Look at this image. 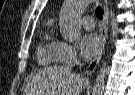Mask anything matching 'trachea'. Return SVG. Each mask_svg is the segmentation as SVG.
Returning <instances> with one entry per match:
<instances>
[{
  "mask_svg": "<svg viewBox=\"0 0 135 95\" xmlns=\"http://www.w3.org/2000/svg\"><path fill=\"white\" fill-rule=\"evenodd\" d=\"M96 17L100 20L103 18V10L100 6L96 8Z\"/></svg>",
  "mask_w": 135,
  "mask_h": 95,
  "instance_id": "trachea-1",
  "label": "trachea"
}]
</instances>
